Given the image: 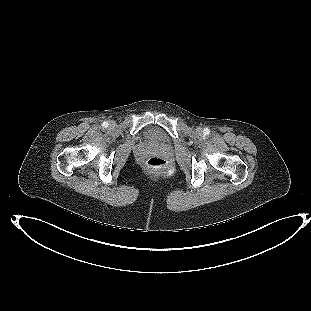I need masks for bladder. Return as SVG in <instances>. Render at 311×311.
Instances as JSON below:
<instances>
[{"label": "bladder", "instance_id": "1", "mask_svg": "<svg viewBox=\"0 0 311 311\" xmlns=\"http://www.w3.org/2000/svg\"><path fill=\"white\" fill-rule=\"evenodd\" d=\"M145 138L152 144H160L166 141V135L157 127L148 129Z\"/></svg>", "mask_w": 311, "mask_h": 311}]
</instances>
